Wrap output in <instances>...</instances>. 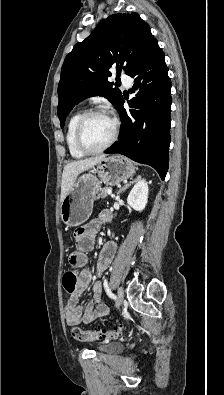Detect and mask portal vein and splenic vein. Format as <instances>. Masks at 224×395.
<instances>
[{"instance_id": "1", "label": "portal vein and splenic vein", "mask_w": 224, "mask_h": 395, "mask_svg": "<svg viewBox=\"0 0 224 395\" xmlns=\"http://www.w3.org/2000/svg\"><path fill=\"white\" fill-rule=\"evenodd\" d=\"M107 194L112 195V190H111V189H108V190H107Z\"/></svg>"}]
</instances>
